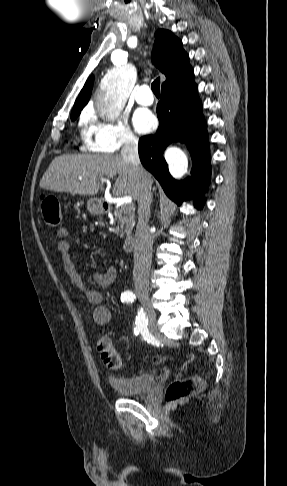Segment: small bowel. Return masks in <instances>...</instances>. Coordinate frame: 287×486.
<instances>
[{
  "label": "small bowel",
  "mask_w": 287,
  "mask_h": 486,
  "mask_svg": "<svg viewBox=\"0 0 287 486\" xmlns=\"http://www.w3.org/2000/svg\"><path fill=\"white\" fill-rule=\"evenodd\" d=\"M59 239L57 243V250L61 256L65 272L70 277L74 286H76L87 298V300L95 305L93 311V319L97 325L106 326L110 323L112 314L108 307L102 305V295L99 291L90 289L86 286L81 275L76 269V266L71 258V246L68 241L69 231L66 228H59L56 232ZM116 278V270L109 267L104 273H93L92 280L100 287L105 288L110 286Z\"/></svg>",
  "instance_id": "small-bowel-1"
}]
</instances>
